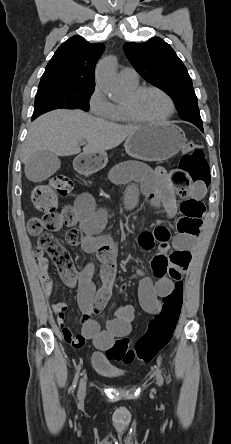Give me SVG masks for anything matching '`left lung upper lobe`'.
<instances>
[{
  "mask_svg": "<svg viewBox=\"0 0 231 444\" xmlns=\"http://www.w3.org/2000/svg\"><path fill=\"white\" fill-rule=\"evenodd\" d=\"M124 51L136 71L149 83L168 93L184 120L202 125L192 80L175 51L163 39L126 43Z\"/></svg>",
  "mask_w": 231,
  "mask_h": 444,
  "instance_id": "1",
  "label": "left lung upper lobe"
}]
</instances>
